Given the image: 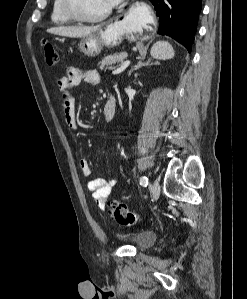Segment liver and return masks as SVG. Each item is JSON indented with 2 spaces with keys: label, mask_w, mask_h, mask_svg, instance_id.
Masks as SVG:
<instances>
[{
  "label": "liver",
  "mask_w": 247,
  "mask_h": 299,
  "mask_svg": "<svg viewBox=\"0 0 247 299\" xmlns=\"http://www.w3.org/2000/svg\"><path fill=\"white\" fill-rule=\"evenodd\" d=\"M100 26H60L47 29V32L71 38L86 37L94 33Z\"/></svg>",
  "instance_id": "1"
}]
</instances>
